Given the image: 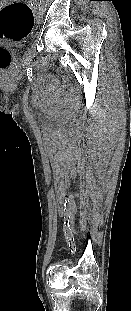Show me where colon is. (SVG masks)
<instances>
[{
  "label": "colon",
  "mask_w": 131,
  "mask_h": 311,
  "mask_svg": "<svg viewBox=\"0 0 131 311\" xmlns=\"http://www.w3.org/2000/svg\"><path fill=\"white\" fill-rule=\"evenodd\" d=\"M34 26V16L30 6L22 1L11 0L0 6V37L13 41L26 38ZM11 55L0 47V68L9 66Z\"/></svg>",
  "instance_id": "colon-1"
}]
</instances>
